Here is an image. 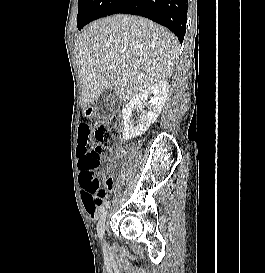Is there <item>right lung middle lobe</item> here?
<instances>
[{
  "label": "right lung middle lobe",
  "mask_w": 265,
  "mask_h": 273,
  "mask_svg": "<svg viewBox=\"0 0 265 273\" xmlns=\"http://www.w3.org/2000/svg\"><path fill=\"white\" fill-rule=\"evenodd\" d=\"M118 0H78L77 27L81 30L91 21L105 17Z\"/></svg>",
  "instance_id": "dd1d6c3e"
}]
</instances>
